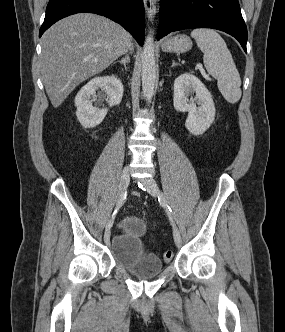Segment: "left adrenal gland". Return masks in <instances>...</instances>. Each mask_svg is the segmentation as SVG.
Here are the masks:
<instances>
[{"instance_id": "obj_1", "label": "left adrenal gland", "mask_w": 285, "mask_h": 332, "mask_svg": "<svg viewBox=\"0 0 285 332\" xmlns=\"http://www.w3.org/2000/svg\"><path fill=\"white\" fill-rule=\"evenodd\" d=\"M175 65H177V63L174 60H172V67Z\"/></svg>"}]
</instances>
